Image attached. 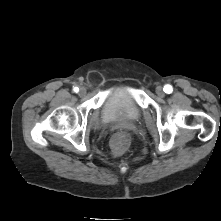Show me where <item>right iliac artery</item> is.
Segmentation results:
<instances>
[{"mask_svg": "<svg viewBox=\"0 0 221 221\" xmlns=\"http://www.w3.org/2000/svg\"><path fill=\"white\" fill-rule=\"evenodd\" d=\"M74 91H75V92H78V91H79V88H78V87H75V88H74Z\"/></svg>", "mask_w": 221, "mask_h": 221, "instance_id": "82829eb1", "label": "right iliac artery"}]
</instances>
